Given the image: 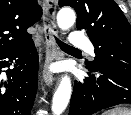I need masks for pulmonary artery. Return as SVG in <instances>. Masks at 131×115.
Returning a JSON list of instances; mask_svg holds the SVG:
<instances>
[{"label": "pulmonary artery", "mask_w": 131, "mask_h": 115, "mask_svg": "<svg viewBox=\"0 0 131 115\" xmlns=\"http://www.w3.org/2000/svg\"><path fill=\"white\" fill-rule=\"evenodd\" d=\"M69 43L73 47L85 48L89 52L93 53L94 48L90 43L89 38L79 31L74 30L72 32V35L69 39Z\"/></svg>", "instance_id": "e3ab8cb5"}]
</instances>
